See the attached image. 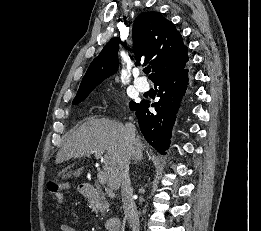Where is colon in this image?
Returning a JSON list of instances; mask_svg holds the SVG:
<instances>
[{"label": "colon", "instance_id": "colon-1", "mask_svg": "<svg viewBox=\"0 0 261 231\" xmlns=\"http://www.w3.org/2000/svg\"><path fill=\"white\" fill-rule=\"evenodd\" d=\"M49 192L55 196V198L58 200V201H61L62 198H63V194H62V190L60 188V186L56 183H53L50 185L49 187Z\"/></svg>", "mask_w": 261, "mask_h": 231}]
</instances>
